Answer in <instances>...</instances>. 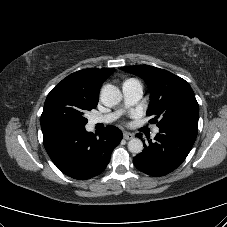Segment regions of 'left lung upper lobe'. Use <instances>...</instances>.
<instances>
[{"mask_svg":"<svg viewBox=\"0 0 227 227\" xmlns=\"http://www.w3.org/2000/svg\"><path fill=\"white\" fill-rule=\"evenodd\" d=\"M146 81L150 90L147 115L159 128L178 127L198 131L199 105L188 82L169 71L149 65L122 67Z\"/></svg>","mask_w":227,"mask_h":227,"instance_id":"left-lung-upper-lobe-1","label":"left lung upper lobe"}]
</instances>
